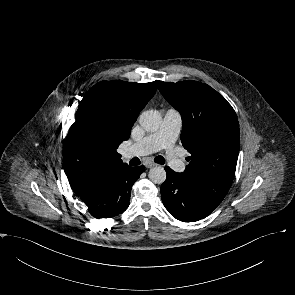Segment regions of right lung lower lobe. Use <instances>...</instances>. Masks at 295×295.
<instances>
[{"mask_svg":"<svg viewBox=\"0 0 295 295\" xmlns=\"http://www.w3.org/2000/svg\"><path fill=\"white\" fill-rule=\"evenodd\" d=\"M145 167H121L94 177L78 195L95 218H109L124 212L130 201L132 185Z\"/></svg>","mask_w":295,"mask_h":295,"instance_id":"1","label":"right lung lower lobe"}]
</instances>
